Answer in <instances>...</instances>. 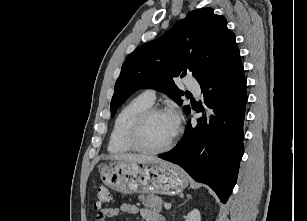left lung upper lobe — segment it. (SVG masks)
I'll list each match as a JSON object with an SVG mask.
<instances>
[{
	"label": "left lung upper lobe",
	"instance_id": "obj_1",
	"mask_svg": "<svg viewBox=\"0 0 307 221\" xmlns=\"http://www.w3.org/2000/svg\"><path fill=\"white\" fill-rule=\"evenodd\" d=\"M239 51L225 18L212 8L190 12L160 38L137 47L122 65L111 100V116L136 90L153 88L182 104L175 77L192 73L203 86ZM190 113V107H183Z\"/></svg>",
	"mask_w": 307,
	"mask_h": 221
}]
</instances>
